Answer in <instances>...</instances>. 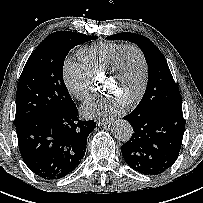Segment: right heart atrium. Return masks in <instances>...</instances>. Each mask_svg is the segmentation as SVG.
Listing matches in <instances>:
<instances>
[{
  "label": "right heart atrium",
  "mask_w": 203,
  "mask_h": 203,
  "mask_svg": "<svg viewBox=\"0 0 203 203\" xmlns=\"http://www.w3.org/2000/svg\"><path fill=\"white\" fill-rule=\"evenodd\" d=\"M62 78L69 93L79 101L85 100L93 90V77L80 62L66 59Z\"/></svg>",
  "instance_id": "d8ad5b80"
}]
</instances>
